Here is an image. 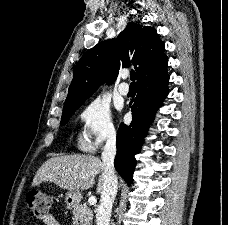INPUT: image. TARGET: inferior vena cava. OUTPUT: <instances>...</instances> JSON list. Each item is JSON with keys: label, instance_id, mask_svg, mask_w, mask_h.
I'll use <instances>...</instances> for the list:
<instances>
[{"label": "inferior vena cava", "instance_id": "602c4592", "mask_svg": "<svg viewBox=\"0 0 228 225\" xmlns=\"http://www.w3.org/2000/svg\"><path fill=\"white\" fill-rule=\"evenodd\" d=\"M116 133H110L102 153L103 183L100 205L96 211V225H109L114 199L117 193V177L114 173Z\"/></svg>", "mask_w": 228, "mask_h": 225}]
</instances>
